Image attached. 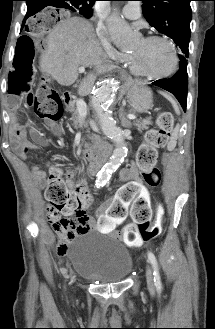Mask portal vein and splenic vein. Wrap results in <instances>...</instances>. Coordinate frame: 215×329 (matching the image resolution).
Here are the masks:
<instances>
[{
    "label": "portal vein and splenic vein",
    "instance_id": "portal-vein-and-splenic-vein-1",
    "mask_svg": "<svg viewBox=\"0 0 215 329\" xmlns=\"http://www.w3.org/2000/svg\"><path fill=\"white\" fill-rule=\"evenodd\" d=\"M78 71L80 73H83L85 71V67H79ZM76 106H77V110H78L80 116L82 118H85L86 115H87V105H86V103L82 99H79V100L76 101ZM127 117L130 120H135L136 119V116L132 115V114H129Z\"/></svg>",
    "mask_w": 215,
    "mask_h": 329
}]
</instances>
